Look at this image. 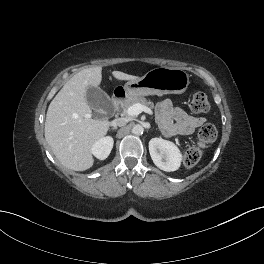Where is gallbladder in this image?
Wrapping results in <instances>:
<instances>
[{
	"mask_svg": "<svg viewBox=\"0 0 264 264\" xmlns=\"http://www.w3.org/2000/svg\"><path fill=\"white\" fill-rule=\"evenodd\" d=\"M86 100L89 106L95 111L106 109L111 104L110 97L99 87H88ZM95 115L98 118L103 116L100 113H96Z\"/></svg>",
	"mask_w": 264,
	"mask_h": 264,
	"instance_id": "gallbladder-1",
	"label": "gallbladder"
}]
</instances>
